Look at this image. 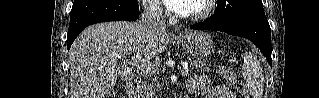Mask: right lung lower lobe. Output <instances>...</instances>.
<instances>
[{"mask_svg":"<svg viewBox=\"0 0 319 98\" xmlns=\"http://www.w3.org/2000/svg\"><path fill=\"white\" fill-rule=\"evenodd\" d=\"M139 16L136 0H76L73 3L67 36L69 50L81 31L92 24L106 21H134Z\"/></svg>","mask_w":319,"mask_h":98,"instance_id":"98d812e1","label":"right lung lower lobe"}]
</instances>
